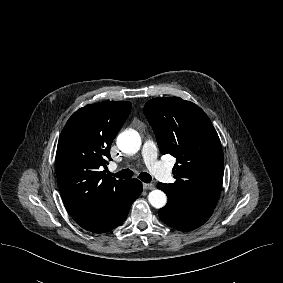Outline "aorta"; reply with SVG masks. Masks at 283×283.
<instances>
[{
  "mask_svg": "<svg viewBox=\"0 0 283 283\" xmlns=\"http://www.w3.org/2000/svg\"><path fill=\"white\" fill-rule=\"evenodd\" d=\"M117 146L122 152L133 155L140 149V135L135 130H125L118 135ZM148 200L154 208L159 209L165 206L167 196L163 191L157 189L149 193Z\"/></svg>",
  "mask_w": 283,
  "mask_h": 283,
  "instance_id": "762f6f07",
  "label": "aorta"
}]
</instances>
